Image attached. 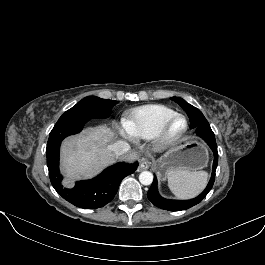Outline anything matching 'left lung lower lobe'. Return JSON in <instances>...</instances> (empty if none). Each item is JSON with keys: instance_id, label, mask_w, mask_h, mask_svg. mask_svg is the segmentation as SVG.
Returning a JSON list of instances; mask_svg holds the SVG:
<instances>
[{"instance_id": "0a47b994", "label": "left lung lower lobe", "mask_w": 265, "mask_h": 265, "mask_svg": "<svg viewBox=\"0 0 265 265\" xmlns=\"http://www.w3.org/2000/svg\"><path fill=\"white\" fill-rule=\"evenodd\" d=\"M197 136L201 137L211 148L214 153V162H213V169L210 181L205 188V190L196 198L186 201H179V200H169L161 197L158 193L157 189V179L154 175V181L147 193L148 199L157 207L169 210V211H180L191 208L192 206L200 203L208 194V192L212 189L214 181H215V171L218 164V152H217V145L215 141V135L210 127L209 124H201L194 127Z\"/></svg>"}]
</instances>
